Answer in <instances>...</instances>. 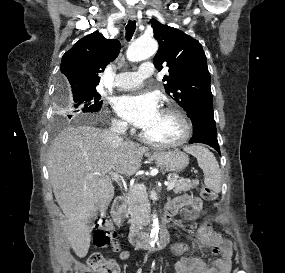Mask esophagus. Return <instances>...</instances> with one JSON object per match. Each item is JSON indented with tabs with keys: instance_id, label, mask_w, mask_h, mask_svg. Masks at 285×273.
I'll use <instances>...</instances> for the list:
<instances>
[{
	"instance_id": "esophagus-1",
	"label": "esophagus",
	"mask_w": 285,
	"mask_h": 273,
	"mask_svg": "<svg viewBox=\"0 0 285 273\" xmlns=\"http://www.w3.org/2000/svg\"><path fill=\"white\" fill-rule=\"evenodd\" d=\"M128 17H129L131 20L135 19V18H136L135 12H134V11H129V12H128Z\"/></svg>"
}]
</instances>
